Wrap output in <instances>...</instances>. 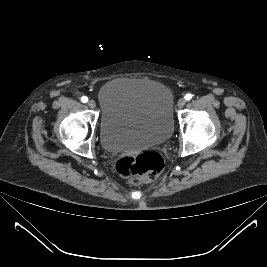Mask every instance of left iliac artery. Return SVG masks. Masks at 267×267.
<instances>
[{"label": "left iliac artery", "instance_id": "1", "mask_svg": "<svg viewBox=\"0 0 267 267\" xmlns=\"http://www.w3.org/2000/svg\"><path fill=\"white\" fill-rule=\"evenodd\" d=\"M192 98V95L191 94H187L186 96H185V99L186 100H190Z\"/></svg>", "mask_w": 267, "mask_h": 267}]
</instances>
